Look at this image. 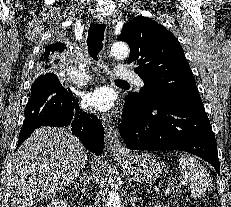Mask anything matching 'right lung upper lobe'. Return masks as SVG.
Here are the masks:
<instances>
[{
    "instance_id": "cb5924a9",
    "label": "right lung upper lobe",
    "mask_w": 231,
    "mask_h": 207,
    "mask_svg": "<svg viewBox=\"0 0 231 207\" xmlns=\"http://www.w3.org/2000/svg\"><path fill=\"white\" fill-rule=\"evenodd\" d=\"M66 49V45L59 42L48 45L41 54L39 66L41 68L44 66L47 68L46 64L50 63L53 59H56V57Z\"/></svg>"
}]
</instances>
